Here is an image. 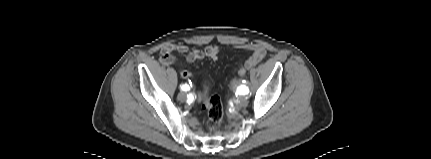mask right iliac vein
Wrapping results in <instances>:
<instances>
[{
    "mask_svg": "<svg viewBox=\"0 0 431 159\" xmlns=\"http://www.w3.org/2000/svg\"><path fill=\"white\" fill-rule=\"evenodd\" d=\"M178 100L181 102H184L186 100V94L184 92H181L177 96Z\"/></svg>",
    "mask_w": 431,
    "mask_h": 159,
    "instance_id": "obj_1",
    "label": "right iliac vein"
}]
</instances>
